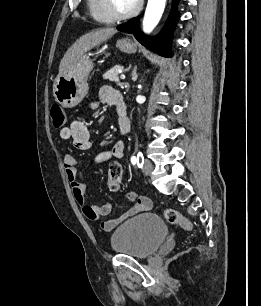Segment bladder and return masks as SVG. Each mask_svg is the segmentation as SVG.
Wrapping results in <instances>:
<instances>
[{
	"instance_id": "bladder-1",
	"label": "bladder",
	"mask_w": 261,
	"mask_h": 306,
	"mask_svg": "<svg viewBox=\"0 0 261 306\" xmlns=\"http://www.w3.org/2000/svg\"><path fill=\"white\" fill-rule=\"evenodd\" d=\"M167 235L168 227L162 218L145 213L121 224L113 232L110 243L118 254L143 259L154 254Z\"/></svg>"
}]
</instances>
